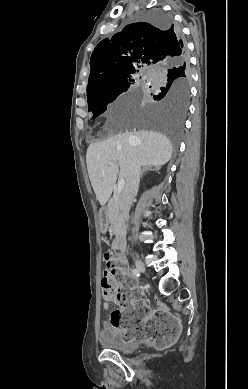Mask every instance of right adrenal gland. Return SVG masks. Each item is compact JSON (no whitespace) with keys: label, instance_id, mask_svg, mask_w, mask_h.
Instances as JSON below:
<instances>
[{"label":"right adrenal gland","instance_id":"right-adrenal-gland-1","mask_svg":"<svg viewBox=\"0 0 248 389\" xmlns=\"http://www.w3.org/2000/svg\"><path fill=\"white\" fill-rule=\"evenodd\" d=\"M148 170H154V171H158L160 170V167L159 166H153V165H147L143 168L142 172H141V177L144 175V173Z\"/></svg>","mask_w":248,"mask_h":389}]
</instances>
